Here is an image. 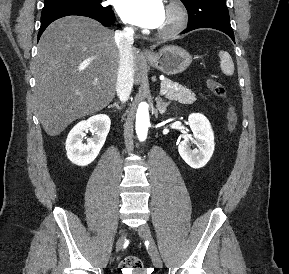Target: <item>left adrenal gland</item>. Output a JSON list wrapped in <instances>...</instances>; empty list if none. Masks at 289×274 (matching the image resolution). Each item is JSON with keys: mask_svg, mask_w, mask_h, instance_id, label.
I'll return each instance as SVG.
<instances>
[{"mask_svg": "<svg viewBox=\"0 0 289 274\" xmlns=\"http://www.w3.org/2000/svg\"><path fill=\"white\" fill-rule=\"evenodd\" d=\"M157 109L161 114H164L170 102H164L160 97L156 99Z\"/></svg>", "mask_w": 289, "mask_h": 274, "instance_id": "left-adrenal-gland-1", "label": "left adrenal gland"}]
</instances>
